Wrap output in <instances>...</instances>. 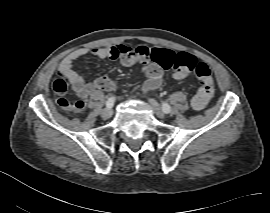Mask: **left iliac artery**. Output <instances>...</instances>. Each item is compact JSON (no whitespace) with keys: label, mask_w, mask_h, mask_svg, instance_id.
Instances as JSON below:
<instances>
[{"label":"left iliac artery","mask_w":270,"mask_h":213,"mask_svg":"<svg viewBox=\"0 0 270 213\" xmlns=\"http://www.w3.org/2000/svg\"><path fill=\"white\" fill-rule=\"evenodd\" d=\"M162 109L165 113H170L171 112V107L168 103L163 102L162 103Z\"/></svg>","instance_id":"1"}]
</instances>
